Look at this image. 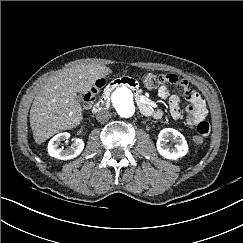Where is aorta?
Here are the masks:
<instances>
[{
	"label": "aorta",
	"instance_id": "aorta-1",
	"mask_svg": "<svg viewBox=\"0 0 243 243\" xmlns=\"http://www.w3.org/2000/svg\"><path fill=\"white\" fill-rule=\"evenodd\" d=\"M112 103L117 112L125 118H130L135 113L133 92L126 86L114 90L111 96Z\"/></svg>",
	"mask_w": 243,
	"mask_h": 243
}]
</instances>
